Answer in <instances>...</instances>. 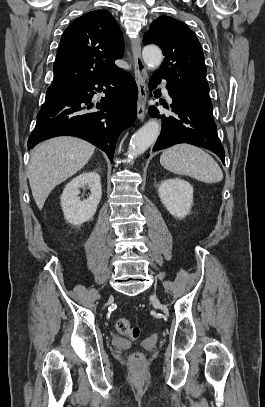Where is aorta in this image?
I'll return each mask as SVG.
<instances>
[{
    "mask_svg": "<svg viewBox=\"0 0 265 407\" xmlns=\"http://www.w3.org/2000/svg\"><path fill=\"white\" fill-rule=\"evenodd\" d=\"M143 59L148 68H156L162 62V52L158 47L147 46L143 49ZM160 132L157 120L148 121L131 138L128 147V156L135 158L144 153L156 140Z\"/></svg>",
    "mask_w": 265,
    "mask_h": 407,
    "instance_id": "762f6f07",
    "label": "aorta"
}]
</instances>
